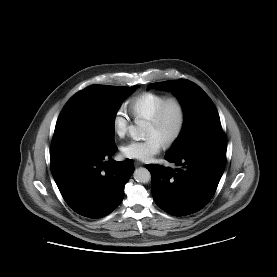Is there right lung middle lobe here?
Instances as JSON below:
<instances>
[{"instance_id": "1", "label": "right lung middle lobe", "mask_w": 277, "mask_h": 277, "mask_svg": "<svg viewBox=\"0 0 277 277\" xmlns=\"http://www.w3.org/2000/svg\"><path fill=\"white\" fill-rule=\"evenodd\" d=\"M139 85H93L72 96L63 107L54 136H74L102 147L114 144L115 116L122 101Z\"/></svg>"}]
</instances>
